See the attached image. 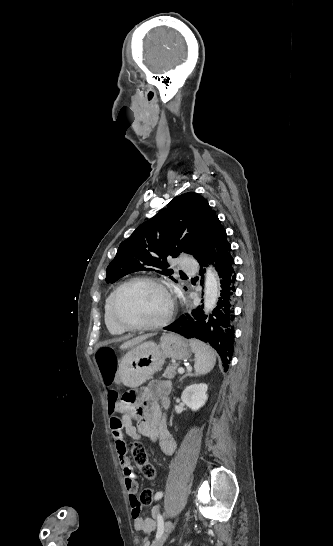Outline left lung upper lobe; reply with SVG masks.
Returning <instances> with one entry per match:
<instances>
[{
  "instance_id": "1",
  "label": "left lung upper lobe",
  "mask_w": 333,
  "mask_h": 546,
  "mask_svg": "<svg viewBox=\"0 0 333 546\" xmlns=\"http://www.w3.org/2000/svg\"><path fill=\"white\" fill-rule=\"evenodd\" d=\"M217 219L207 200L197 193L174 198L167 208L141 224L120 244L107 267L106 282L114 283L141 270L171 275L173 270L167 258H176L180 253L196 257L209 240Z\"/></svg>"
}]
</instances>
